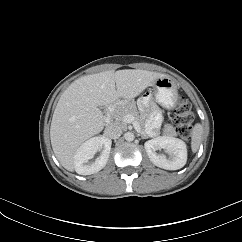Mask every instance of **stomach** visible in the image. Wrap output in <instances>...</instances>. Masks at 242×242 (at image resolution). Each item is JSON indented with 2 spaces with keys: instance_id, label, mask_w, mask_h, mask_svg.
<instances>
[{
  "instance_id": "stomach-1",
  "label": "stomach",
  "mask_w": 242,
  "mask_h": 242,
  "mask_svg": "<svg viewBox=\"0 0 242 242\" xmlns=\"http://www.w3.org/2000/svg\"><path fill=\"white\" fill-rule=\"evenodd\" d=\"M156 90L155 98L156 101L167 109H171L176 105L178 97V86L177 83L171 78L165 76L157 79L153 84ZM125 101H122L124 104Z\"/></svg>"
}]
</instances>
